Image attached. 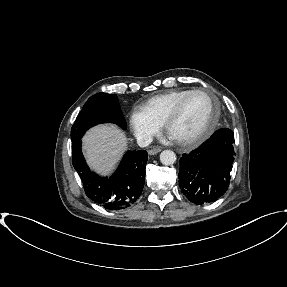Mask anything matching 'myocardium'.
Segmentation results:
<instances>
[{
    "label": "myocardium",
    "mask_w": 287,
    "mask_h": 287,
    "mask_svg": "<svg viewBox=\"0 0 287 287\" xmlns=\"http://www.w3.org/2000/svg\"><path fill=\"white\" fill-rule=\"evenodd\" d=\"M202 94L209 98L211 103V112L210 117L208 120V123L206 127L198 134L182 139V140H174L178 145L185 146V147H192L196 146L200 143H202L204 140H206L210 134L213 132L214 128L216 127L217 121H218V105L215 100V98L204 90H192L188 94H186L184 97H182L172 108V110L168 113V115L165 117L162 127L164 132L167 134L168 129L170 125L177 119L179 116L185 102L193 95Z\"/></svg>",
    "instance_id": "1"
}]
</instances>
